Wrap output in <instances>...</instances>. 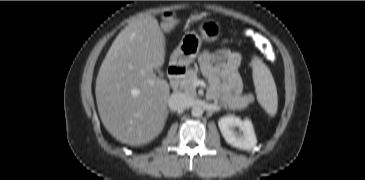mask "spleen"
<instances>
[{
    "label": "spleen",
    "instance_id": "1",
    "mask_svg": "<svg viewBox=\"0 0 365 180\" xmlns=\"http://www.w3.org/2000/svg\"><path fill=\"white\" fill-rule=\"evenodd\" d=\"M251 66L257 100L270 116H274L277 112L278 98L273 76L257 56H253Z\"/></svg>",
    "mask_w": 365,
    "mask_h": 180
}]
</instances>
